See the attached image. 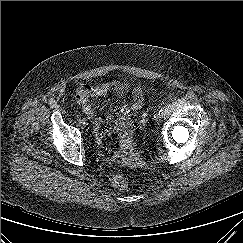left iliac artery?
<instances>
[{
    "mask_svg": "<svg viewBox=\"0 0 243 243\" xmlns=\"http://www.w3.org/2000/svg\"><path fill=\"white\" fill-rule=\"evenodd\" d=\"M163 113H164V110H163V109H160V110H159V115H161V116H162V115H163Z\"/></svg>",
    "mask_w": 243,
    "mask_h": 243,
    "instance_id": "1",
    "label": "left iliac artery"
}]
</instances>
